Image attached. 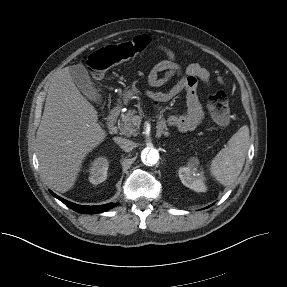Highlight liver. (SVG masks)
I'll list each match as a JSON object with an SVG mask.
<instances>
[{"instance_id": "1", "label": "liver", "mask_w": 287, "mask_h": 287, "mask_svg": "<svg viewBox=\"0 0 287 287\" xmlns=\"http://www.w3.org/2000/svg\"><path fill=\"white\" fill-rule=\"evenodd\" d=\"M97 121L96 109L76 87L69 67L57 72L36 134L41 173L54 190L69 191L84 158L106 138Z\"/></svg>"}]
</instances>
